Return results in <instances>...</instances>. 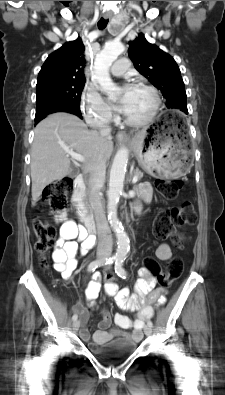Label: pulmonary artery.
<instances>
[{
	"instance_id": "obj_1",
	"label": "pulmonary artery",
	"mask_w": 225,
	"mask_h": 395,
	"mask_svg": "<svg viewBox=\"0 0 225 395\" xmlns=\"http://www.w3.org/2000/svg\"><path fill=\"white\" fill-rule=\"evenodd\" d=\"M129 68V60L127 58L118 59L111 67L110 71L114 76L123 75Z\"/></svg>"
}]
</instances>
